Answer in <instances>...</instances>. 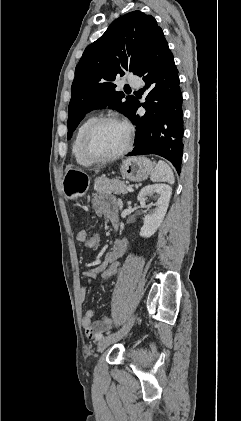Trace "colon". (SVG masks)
<instances>
[{
	"mask_svg": "<svg viewBox=\"0 0 241 421\" xmlns=\"http://www.w3.org/2000/svg\"><path fill=\"white\" fill-rule=\"evenodd\" d=\"M101 235L98 231L92 232L90 235L87 236L84 246L87 249H94L100 243ZM122 264L120 261L116 260L110 263L102 272L101 278L104 281H108L112 279L114 276L118 275L121 270Z\"/></svg>",
	"mask_w": 241,
	"mask_h": 421,
	"instance_id": "5ec220e1",
	"label": "colon"
}]
</instances>
